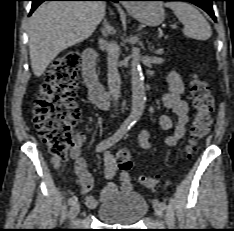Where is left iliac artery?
Wrapping results in <instances>:
<instances>
[{"label":"left iliac artery","instance_id":"left-iliac-artery-1","mask_svg":"<svg viewBox=\"0 0 234 231\" xmlns=\"http://www.w3.org/2000/svg\"><path fill=\"white\" fill-rule=\"evenodd\" d=\"M160 206L165 209L166 208V203L165 202H160Z\"/></svg>","mask_w":234,"mask_h":231}]
</instances>
